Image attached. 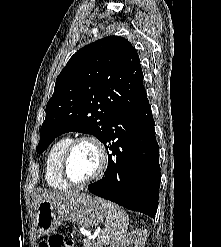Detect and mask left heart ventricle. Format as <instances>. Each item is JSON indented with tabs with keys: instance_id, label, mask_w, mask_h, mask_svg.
<instances>
[{
	"instance_id": "left-heart-ventricle-1",
	"label": "left heart ventricle",
	"mask_w": 221,
	"mask_h": 247,
	"mask_svg": "<svg viewBox=\"0 0 221 247\" xmlns=\"http://www.w3.org/2000/svg\"><path fill=\"white\" fill-rule=\"evenodd\" d=\"M98 167V154L89 143H81L73 150L68 162V174L75 182H82L94 174Z\"/></svg>"
}]
</instances>
